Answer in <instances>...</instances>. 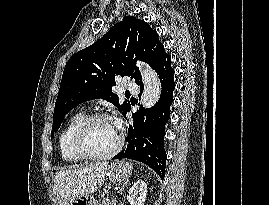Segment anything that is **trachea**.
<instances>
[{
  "label": "trachea",
  "instance_id": "1",
  "mask_svg": "<svg viewBox=\"0 0 269 205\" xmlns=\"http://www.w3.org/2000/svg\"><path fill=\"white\" fill-rule=\"evenodd\" d=\"M125 95H130V92H126Z\"/></svg>",
  "mask_w": 269,
  "mask_h": 205
}]
</instances>
